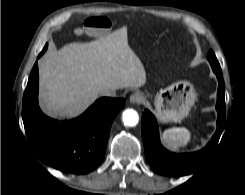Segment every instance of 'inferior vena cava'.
<instances>
[{
	"mask_svg": "<svg viewBox=\"0 0 245 195\" xmlns=\"http://www.w3.org/2000/svg\"><path fill=\"white\" fill-rule=\"evenodd\" d=\"M101 95H103V96H115V91H112V90H109V89L103 90L101 92Z\"/></svg>",
	"mask_w": 245,
	"mask_h": 195,
	"instance_id": "inferior-vena-cava-1",
	"label": "inferior vena cava"
}]
</instances>
